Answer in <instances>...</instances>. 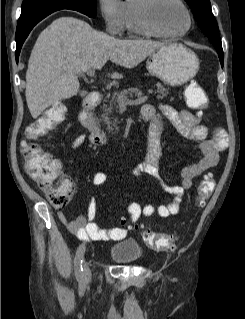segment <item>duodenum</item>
Wrapping results in <instances>:
<instances>
[{
    "label": "duodenum",
    "mask_w": 245,
    "mask_h": 319,
    "mask_svg": "<svg viewBox=\"0 0 245 319\" xmlns=\"http://www.w3.org/2000/svg\"><path fill=\"white\" fill-rule=\"evenodd\" d=\"M102 96L98 91H91L84 99L79 115L81 124L90 132V141L93 145L102 146L106 137L95 119L92 111L101 102Z\"/></svg>",
    "instance_id": "obj_1"
}]
</instances>
